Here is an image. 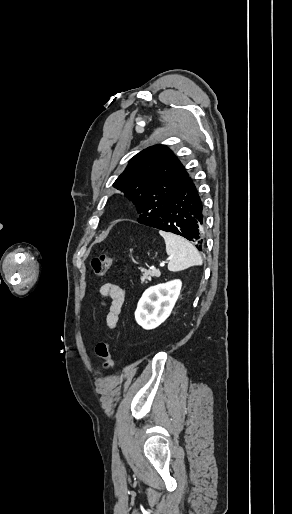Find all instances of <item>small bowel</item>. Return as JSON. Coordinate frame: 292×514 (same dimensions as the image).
<instances>
[{"label":"small bowel","mask_w":292,"mask_h":514,"mask_svg":"<svg viewBox=\"0 0 292 514\" xmlns=\"http://www.w3.org/2000/svg\"><path fill=\"white\" fill-rule=\"evenodd\" d=\"M100 295L102 297V306L107 308L106 325L108 328L114 329L118 324L125 302V290L120 285L105 283L100 288Z\"/></svg>","instance_id":"small-bowel-1"}]
</instances>
